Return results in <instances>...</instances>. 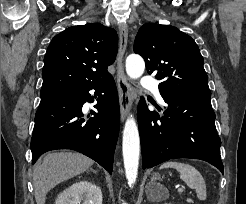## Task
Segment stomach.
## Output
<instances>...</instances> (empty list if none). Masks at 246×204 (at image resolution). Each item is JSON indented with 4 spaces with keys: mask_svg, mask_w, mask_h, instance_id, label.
Here are the masks:
<instances>
[{
    "mask_svg": "<svg viewBox=\"0 0 246 204\" xmlns=\"http://www.w3.org/2000/svg\"><path fill=\"white\" fill-rule=\"evenodd\" d=\"M153 180H157L160 179V175L159 174H154L152 177Z\"/></svg>",
    "mask_w": 246,
    "mask_h": 204,
    "instance_id": "0dacf381",
    "label": "stomach"
}]
</instances>
